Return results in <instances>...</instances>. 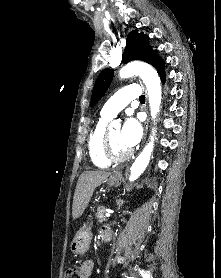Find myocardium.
<instances>
[{"mask_svg":"<svg viewBox=\"0 0 221 278\" xmlns=\"http://www.w3.org/2000/svg\"><path fill=\"white\" fill-rule=\"evenodd\" d=\"M102 153L109 162L114 163L124 162L132 156L131 150L122 155H116L113 152L109 131H106L103 137Z\"/></svg>","mask_w":221,"mask_h":278,"instance_id":"1","label":"myocardium"}]
</instances>
